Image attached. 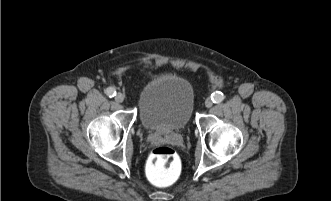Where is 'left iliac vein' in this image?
<instances>
[{
    "label": "left iliac vein",
    "instance_id": "1",
    "mask_svg": "<svg viewBox=\"0 0 331 201\" xmlns=\"http://www.w3.org/2000/svg\"><path fill=\"white\" fill-rule=\"evenodd\" d=\"M212 105H213V101H212L210 98H207V99L205 100V106H206L207 108H210V107H212Z\"/></svg>",
    "mask_w": 331,
    "mask_h": 201
}]
</instances>
